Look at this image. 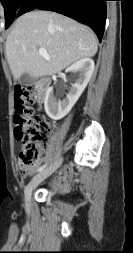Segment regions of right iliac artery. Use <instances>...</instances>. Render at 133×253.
Segmentation results:
<instances>
[{
	"mask_svg": "<svg viewBox=\"0 0 133 253\" xmlns=\"http://www.w3.org/2000/svg\"><path fill=\"white\" fill-rule=\"evenodd\" d=\"M46 167H47V164H46V165H43V166H41V167H39V168L37 169V172H42Z\"/></svg>",
	"mask_w": 133,
	"mask_h": 253,
	"instance_id": "obj_1",
	"label": "right iliac artery"
}]
</instances>
